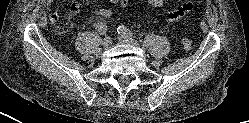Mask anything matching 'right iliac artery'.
Segmentation results:
<instances>
[{"label": "right iliac artery", "instance_id": "82829eb1", "mask_svg": "<svg viewBox=\"0 0 249 123\" xmlns=\"http://www.w3.org/2000/svg\"><path fill=\"white\" fill-rule=\"evenodd\" d=\"M96 30H97L100 34L106 35V33H107V26H106V24H105L104 22H98V23L96 24Z\"/></svg>", "mask_w": 249, "mask_h": 123}]
</instances>
